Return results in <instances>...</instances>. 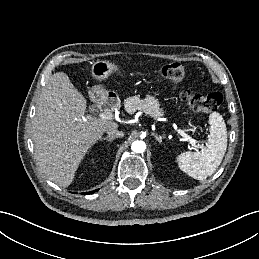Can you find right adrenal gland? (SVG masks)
Returning <instances> with one entry per match:
<instances>
[{
	"instance_id": "1",
	"label": "right adrenal gland",
	"mask_w": 259,
	"mask_h": 259,
	"mask_svg": "<svg viewBox=\"0 0 259 259\" xmlns=\"http://www.w3.org/2000/svg\"><path fill=\"white\" fill-rule=\"evenodd\" d=\"M115 139L114 136H107V137H104V138H101L100 141H108L109 143H112V141Z\"/></svg>"
}]
</instances>
